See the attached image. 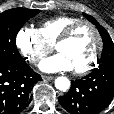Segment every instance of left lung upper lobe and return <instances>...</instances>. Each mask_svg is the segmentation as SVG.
<instances>
[{
    "mask_svg": "<svg viewBox=\"0 0 114 114\" xmlns=\"http://www.w3.org/2000/svg\"><path fill=\"white\" fill-rule=\"evenodd\" d=\"M83 15L97 27L103 39L104 47L101 59L98 63L99 66L114 64V43L109 33L92 16L85 13H83Z\"/></svg>",
    "mask_w": 114,
    "mask_h": 114,
    "instance_id": "obj_1",
    "label": "left lung upper lobe"
}]
</instances>
